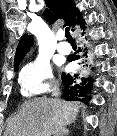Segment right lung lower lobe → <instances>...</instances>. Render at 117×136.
Masks as SVG:
<instances>
[{"label": "right lung lower lobe", "mask_w": 117, "mask_h": 136, "mask_svg": "<svg viewBox=\"0 0 117 136\" xmlns=\"http://www.w3.org/2000/svg\"><path fill=\"white\" fill-rule=\"evenodd\" d=\"M85 25V24H84ZM82 26V29H85V26ZM78 58L76 56H70L68 61H75ZM62 83L64 85V99L67 101H83L85 103L91 100V96H89L92 83L94 80L91 77L88 78H80L78 75H69L63 73Z\"/></svg>", "instance_id": "right-lung-lower-lobe-1"}]
</instances>
